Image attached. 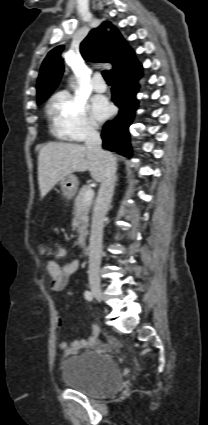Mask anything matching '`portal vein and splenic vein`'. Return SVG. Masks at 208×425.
Here are the masks:
<instances>
[{
    "mask_svg": "<svg viewBox=\"0 0 208 425\" xmlns=\"http://www.w3.org/2000/svg\"><path fill=\"white\" fill-rule=\"evenodd\" d=\"M93 196H94V191L92 189H89L88 191H86L84 195V202H88L92 200Z\"/></svg>",
    "mask_w": 208,
    "mask_h": 425,
    "instance_id": "1",
    "label": "portal vein and splenic vein"
}]
</instances>
